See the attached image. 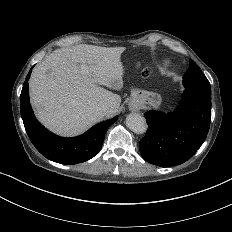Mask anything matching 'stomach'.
Here are the masks:
<instances>
[{"instance_id": "obj_1", "label": "stomach", "mask_w": 232, "mask_h": 232, "mask_svg": "<svg viewBox=\"0 0 232 232\" xmlns=\"http://www.w3.org/2000/svg\"><path fill=\"white\" fill-rule=\"evenodd\" d=\"M132 102L144 107L146 104L158 105L160 102V96L156 93L145 92V91H133L132 92Z\"/></svg>"}]
</instances>
